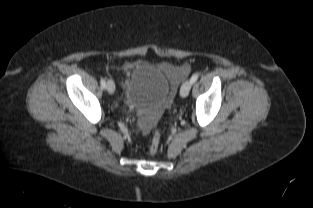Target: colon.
I'll return each instance as SVG.
<instances>
[{"instance_id":"1","label":"colon","mask_w":313,"mask_h":208,"mask_svg":"<svg viewBox=\"0 0 313 208\" xmlns=\"http://www.w3.org/2000/svg\"><path fill=\"white\" fill-rule=\"evenodd\" d=\"M160 143H161V134L158 130H156L151 139V142L148 148V153L150 155L156 154L160 148Z\"/></svg>"}]
</instances>
